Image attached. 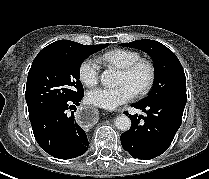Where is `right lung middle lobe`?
Segmentation results:
<instances>
[{"mask_svg":"<svg viewBox=\"0 0 209 179\" xmlns=\"http://www.w3.org/2000/svg\"><path fill=\"white\" fill-rule=\"evenodd\" d=\"M108 44L81 45L67 49H42L28 73L26 102L29 118L36 117L49 106L84 95L80 82L81 63Z\"/></svg>","mask_w":209,"mask_h":179,"instance_id":"1","label":"right lung middle lobe"}]
</instances>
